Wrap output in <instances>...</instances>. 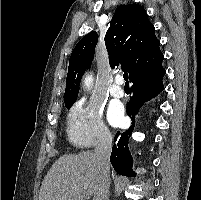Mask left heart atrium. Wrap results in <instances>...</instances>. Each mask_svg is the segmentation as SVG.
Instances as JSON below:
<instances>
[{
  "mask_svg": "<svg viewBox=\"0 0 201 200\" xmlns=\"http://www.w3.org/2000/svg\"><path fill=\"white\" fill-rule=\"evenodd\" d=\"M109 120L114 125H119L123 121L122 109L118 106H114L109 111Z\"/></svg>",
  "mask_w": 201,
  "mask_h": 200,
  "instance_id": "1",
  "label": "left heart atrium"
}]
</instances>
